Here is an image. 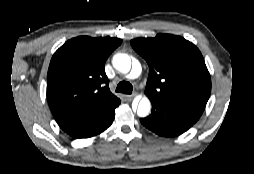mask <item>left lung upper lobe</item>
Here are the masks:
<instances>
[{
  "label": "left lung upper lobe",
  "mask_w": 254,
  "mask_h": 174,
  "mask_svg": "<svg viewBox=\"0 0 254 174\" xmlns=\"http://www.w3.org/2000/svg\"><path fill=\"white\" fill-rule=\"evenodd\" d=\"M133 49L148 63L145 94L150 100L201 115L211 93V79L203 56L191 42L176 35L137 38Z\"/></svg>",
  "instance_id": "1"
}]
</instances>
